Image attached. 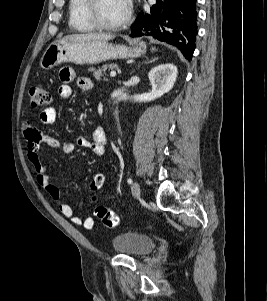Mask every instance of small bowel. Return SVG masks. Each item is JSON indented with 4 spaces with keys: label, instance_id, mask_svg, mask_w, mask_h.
<instances>
[{
    "label": "small bowel",
    "instance_id": "small-bowel-1",
    "mask_svg": "<svg viewBox=\"0 0 267 301\" xmlns=\"http://www.w3.org/2000/svg\"><path fill=\"white\" fill-rule=\"evenodd\" d=\"M59 77L62 84L58 88V94L62 99H68L72 96V88L69 84L72 81H75L77 87L83 91H89L93 87V83L88 77H77L75 72L70 68H63L60 71ZM55 120L56 111L52 107L44 109L39 115V121L43 125H50L54 123ZM23 133L26 139L28 159L36 173V180L55 200L59 199L60 192L51 181L41 161L39 154L41 144L45 143L54 149H60L66 154L72 153L77 148H88L97 156H102L106 152L108 143L107 134L103 127H96L92 132L91 139L85 136H79L73 141L63 143L59 142L56 138L43 134L38 128L31 124L24 125ZM78 177L81 178L82 175L79 174ZM59 210L61 214L69 218L74 225L83 226L85 229H91L94 225V220L91 217L85 218L84 220L78 217L71 203H60Z\"/></svg>",
    "mask_w": 267,
    "mask_h": 301
}]
</instances>
